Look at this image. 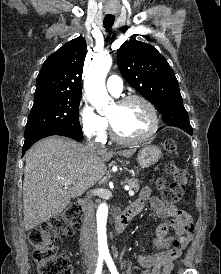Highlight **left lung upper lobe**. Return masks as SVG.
Returning a JSON list of instances; mask_svg holds the SVG:
<instances>
[{
  "mask_svg": "<svg viewBox=\"0 0 221 274\" xmlns=\"http://www.w3.org/2000/svg\"><path fill=\"white\" fill-rule=\"evenodd\" d=\"M117 62L123 78L156 106L162 118L183 106L172 68L152 45L130 40L118 49Z\"/></svg>",
  "mask_w": 221,
  "mask_h": 274,
  "instance_id": "obj_1",
  "label": "left lung upper lobe"
}]
</instances>
